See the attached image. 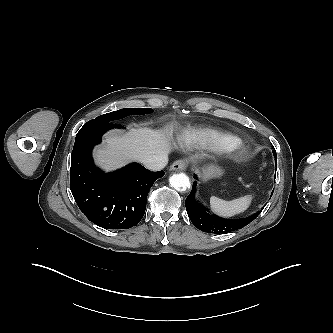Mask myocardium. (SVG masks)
Listing matches in <instances>:
<instances>
[{
  "mask_svg": "<svg viewBox=\"0 0 333 333\" xmlns=\"http://www.w3.org/2000/svg\"><path fill=\"white\" fill-rule=\"evenodd\" d=\"M223 147L226 148L228 151H231L234 153H243V151H244L243 147L237 142L230 144V145H225Z\"/></svg>",
  "mask_w": 333,
  "mask_h": 333,
  "instance_id": "myocardium-1",
  "label": "myocardium"
}]
</instances>
